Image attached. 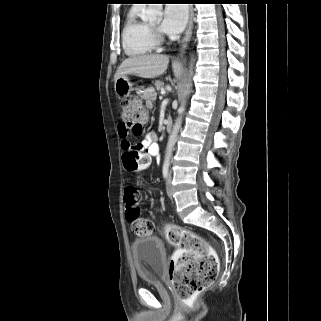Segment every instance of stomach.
I'll return each instance as SVG.
<instances>
[{
    "instance_id": "0dacf381",
    "label": "stomach",
    "mask_w": 321,
    "mask_h": 321,
    "mask_svg": "<svg viewBox=\"0 0 321 321\" xmlns=\"http://www.w3.org/2000/svg\"><path fill=\"white\" fill-rule=\"evenodd\" d=\"M115 91L119 97H126L131 91L134 90L133 83L129 77L123 76L115 80Z\"/></svg>"
}]
</instances>
